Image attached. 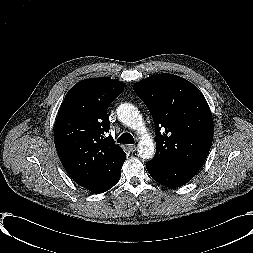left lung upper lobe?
<instances>
[{"mask_svg": "<svg viewBox=\"0 0 253 253\" xmlns=\"http://www.w3.org/2000/svg\"><path fill=\"white\" fill-rule=\"evenodd\" d=\"M150 111L156 133V154L149 162L200 168L213 139V119L203 94L189 81L157 74L133 86Z\"/></svg>", "mask_w": 253, "mask_h": 253, "instance_id": "left-lung-upper-lobe-1", "label": "left lung upper lobe"}]
</instances>
